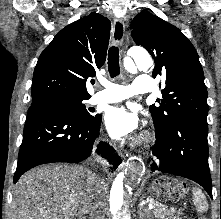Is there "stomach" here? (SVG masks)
Returning a JSON list of instances; mask_svg holds the SVG:
<instances>
[{
  "instance_id": "1",
  "label": "stomach",
  "mask_w": 221,
  "mask_h": 219,
  "mask_svg": "<svg viewBox=\"0 0 221 219\" xmlns=\"http://www.w3.org/2000/svg\"><path fill=\"white\" fill-rule=\"evenodd\" d=\"M177 181V178L167 177H159L155 179L149 188L152 192V199H173V195H180L184 188L183 185ZM171 183L178 184L172 188Z\"/></svg>"
}]
</instances>
